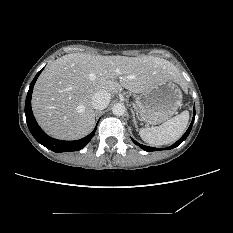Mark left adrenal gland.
I'll return each instance as SVG.
<instances>
[{
  "instance_id": "a2214340",
  "label": "left adrenal gland",
  "mask_w": 233,
  "mask_h": 233,
  "mask_svg": "<svg viewBox=\"0 0 233 233\" xmlns=\"http://www.w3.org/2000/svg\"><path fill=\"white\" fill-rule=\"evenodd\" d=\"M131 112H132V118H133L134 126H135V128H136V129H138L137 121H136V118H135V113H134V111H133V110H131Z\"/></svg>"
}]
</instances>
